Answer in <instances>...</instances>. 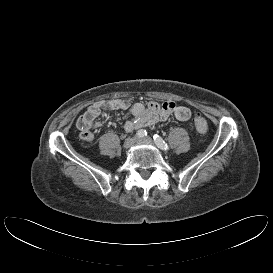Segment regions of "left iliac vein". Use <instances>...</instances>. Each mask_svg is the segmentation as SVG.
I'll return each instance as SVG.
<instances>
[{"instance_id": "1", "label": "left iliac vein", "mask_w": 273, "mask_h": 273, "mask_svg": "<svg viewBox=\"0 0 273 273\" xmlns=\"http://www.w3.org/2000/svg\"><path fill=\"white\" fill-rule=\"evenodd\" d=\"M138 143H150L153 144V140L150 137H145L141 139H137Z\"/></svg>"}]
</instances>
